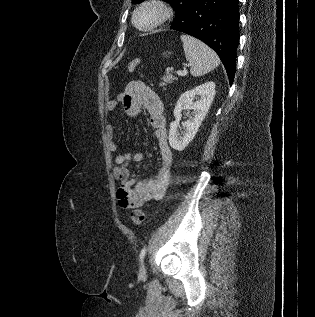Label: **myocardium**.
<instances>
[{"label":"myocardium","mask_w":315,"mask_h":317,"mask_svg":"<svg viewBox=\"0 0 315 317\" xmlns=\"http://www.w3.org/2000/svg\"><path fill=\"white\" fill-rule=\"evenodd\" d=\"M146 10L154 12V18L147 24L139 22V15ZM173 14L171 5L165 0H144L134 10L133 25L140 31L153 30L167 22Z\"/></svg>","instance_id":"myocardium-1"}]
</instances>
